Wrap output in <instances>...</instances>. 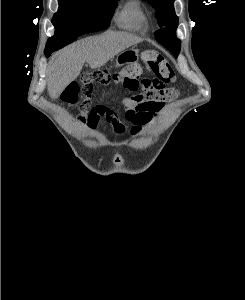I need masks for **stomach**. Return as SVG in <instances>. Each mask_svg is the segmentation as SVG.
Instances as JSON below:
<instances>
[{
    "label": "stomach",
    "instance_id": "1",
    "mask_svg": "<svg viewBox=\"0 0 245 300\" xmlns=\"http://www.w3.org/2000/svg\"><path fill=\"white\" fill-rule=\"evenodd\" d=\"M138 52L139 51L135 48H130L121 52L116 58V65L121 67L126 64L137 62L139 59Z\"/></svg>",
    "mask_w": 245,
    "mask_h": 300
}]
</instances>
